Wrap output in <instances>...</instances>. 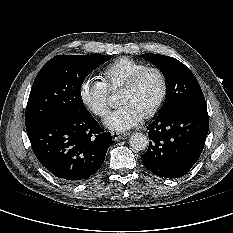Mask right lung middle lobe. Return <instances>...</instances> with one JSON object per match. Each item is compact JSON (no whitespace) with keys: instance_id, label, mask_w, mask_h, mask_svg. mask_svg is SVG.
<instances>
[{"instance_id":"obj_1","label":"right lung middle lobe","mask_w":233,"mask_h":233,"mask_svg":"<svg viewBox=\"0 0 233 233\" xmlns=\"http://www.w3.org/2000/svg\"><path fill=\"white\" fill-rule=\"evenodd\" d=\"M111 55H58L37 74L29 95L26 128L42 122L66 119L87 111L81 97V85Z\"/></svg>"}]
</instances>
